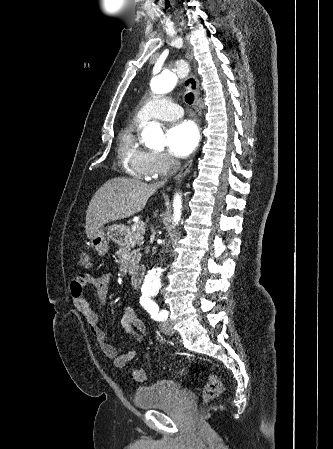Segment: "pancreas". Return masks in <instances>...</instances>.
<instances>
[{"label":"pancreas","mask_w":333,"mask_h":449,"mask_svg":"<svg viewBox=\"0 0 333 449\" xmlns=\"http://www.w3.org/2000/svg\"><path fill=\"white\" fill-rule=\"evenodd\" d=\"M110 232H114L112 235H108L109 237H113L114 242L120 247H126L129 269H132L141 259V249H135V246L141 245L143 233L141 231H133L132 227L130 228L123 224L111 226Z\"/></svg>","instance_id":"1"}]
</instances>
